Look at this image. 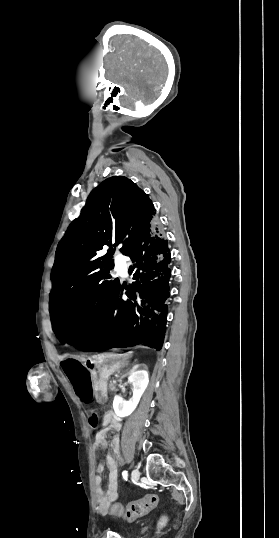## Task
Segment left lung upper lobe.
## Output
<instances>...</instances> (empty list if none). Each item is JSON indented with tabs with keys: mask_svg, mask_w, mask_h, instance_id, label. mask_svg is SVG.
Segmentation results:
<instances>
[{
	"mask_svg": "<svg viewBox=\"0 0 279 538\" xmlns=\"http://www.w3.org/2000/svg\"><path fill=\"white\" fill-rule=\"evenodd\" d=\"M154 211L148 195L126 177H110L92 190L56 250L50 313L58 339L66 332L91 336L100 327L120 288L109 274L112 246L126 255L154 226ZM103 245L110 249L100 256Z\"/></svg>",
	"mask_w": 279,
	"mask_h": 538,
	"instance_id": "obj_1",
	"label": "left lung upper lobe"
}]
</instances>
